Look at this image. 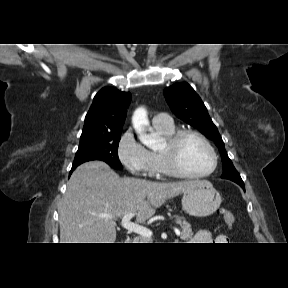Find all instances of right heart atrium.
I'll return each mask as SVG.
<instances>
[{
    "label": "right heart atrium",
    "mask_w": 288,
    "mask_h": 288,
    "mask_svg": "<svg viewBox=\"0 0 288 288\" xmlns=\"http://www.w3.org/2000/svg\"><path fill=\"white\" fill-rule=\"evenodd\" d=\"M117 155L121 164L133 175L153 177L151 154L133 135L131 130L122 134L118 141Z\"/></svg>",
    "instance_id": "obj_1"
}]
</instances>
